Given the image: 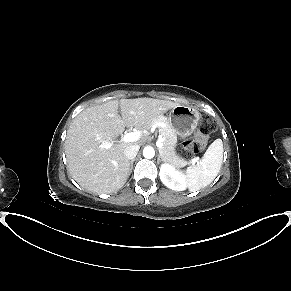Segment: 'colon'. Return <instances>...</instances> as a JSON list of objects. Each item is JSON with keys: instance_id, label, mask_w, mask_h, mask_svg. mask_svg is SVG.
Masks as SVG:
<instances>
[{"instance_id": "5ec220e1", "label": "colon", "mask_w": 291, "mask_h": 291, "mask_svg": "<svg viewBox=\"0 0 291 291\" xmlns=\"http://www.w3.org/2000/svg\"><path fill=\"white\" fill-rule=\"evenodd\" d=\"M200 129L203 134H208L215 129L212 121L206 119L202 122ZM199 150V144L195 140L188 139L180 143L177 147V154L182 158H188L195 155Z\"/></svg>"}]
</instances>
